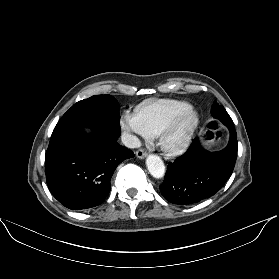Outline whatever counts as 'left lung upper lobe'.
<instances>
[{"label":"left lung upper lobe","mask_w":279,"mask_h":279,"mask_svg":"<svg viewBox=\"0 0 279 279\" xmlns=\"http://www.w3.org/2000/svg\"><path fill=\"white\" fill-rule=\"evenodd\" d=\"M211 112H212V115H213L214 118L219 119L224 124L226 122H232V119L228 115L225 108L223 106L219 105L216 101L213 103Z\"/></svg>","instance_id":"obj_1"}]
</instances>
